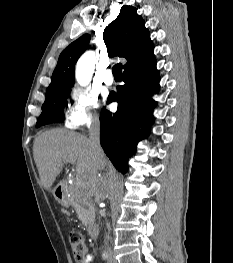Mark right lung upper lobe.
Here are the masks:
<instances>
[{"instance_id": "right-lung-upper-lobe-1", "label": "right lung upper lobe", "mask_w": 233, "mask_h": 263, "mask_svg": "<svg viewBox=\"0 0 233 263\" xmlns=\"http://www.w3.org/2000/svg\"><path fill=\"white\" fill-rule=\"evenodd\" d=\"M103 39L109 56L124 57V70L134 68L155 59L154 46L143 19L136 8L124 5L118 17L103 32ZM90 36L85 34L65 48L59 56L46 96L74 84V67L87 49Z\"/></svg>"}]
</instances>
